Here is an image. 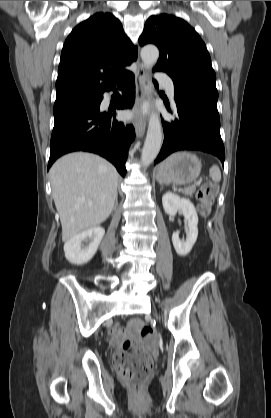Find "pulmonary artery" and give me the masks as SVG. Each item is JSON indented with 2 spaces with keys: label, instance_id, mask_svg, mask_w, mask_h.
Here are the masks:
<instances>
[{
  "label": "pulmonary artery",
  "instance_id": "1",
  "mask_svg": "<svg viewBox=\"0 0 271 418\" xmlns=\"http://www.w3.org/2000/svg\"><path fill=\"white\" fill-rule=\"evenodd\" d=\"M158 81L165 87L168 96L174 99V84L170 77L166 75H158Z\"/></svg>",
  "mask_w": 271,
  "mask_h": 418
}]
</instances>
